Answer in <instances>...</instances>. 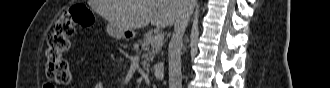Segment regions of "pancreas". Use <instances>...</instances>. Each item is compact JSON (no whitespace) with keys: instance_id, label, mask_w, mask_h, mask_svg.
<instances>
[{"instance_id":"obj_1","label":"pancreas","mask_w":330,"mask_h":88,"mask_svg":"<svg viewBox=\"0 0 330 88\" xmlns=\"http://www.w3.org/2000/svg\"><path fill=\"white\" fill-rule=\"evenodd\" d=\"M155 44V35H146L143 40H139L137 43L134 44V50L138 51L139 49L143 51H148L149 48H151V51L149 52V58H153V56L160 51L162 44L160 45H154ZM143 57H148L147 55H144Z\"/></svg>"}]
</instances>
